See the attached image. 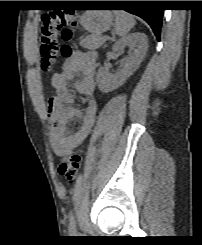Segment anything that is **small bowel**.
Wrapping results in <instances>:
<instances>
[{"mask_svg":"<svg viewBox=\"0 0 202 245\" xmlns=\"http://www.w3.org/2000/svg\"><path fill=\"white\" fill-rule=\"evenodd\" d=\"M95 73L94 56L73 51L61 71L52 76L56 96L48 102L47 114L51 121L50 143L58 156L70 155L80 148L95 122L98 108ZM70 81H74L77 92L86 97L84 110L74 106V96L68 91ZM70 123L78 124L76 132L69 133Z\"/></svg>","mask_w":202,"mask_h":245,"instance_id":"obj_1","label":"small bowel"}]
</instances>
